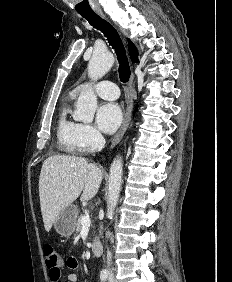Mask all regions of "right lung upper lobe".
<instances>
[{"label":"right lung upper lobe","mask_w":232,"mask_h":282,"mask_svg":"<svg viewBox=\"0 0 232 282\" xmlns=\"http://www.w3.org/2000/svg\"><path fill=\"white\" fill-rule=\"evenodd\" d=\"M128 48H129V54H130L131 60L133 62H137V57H138L137 50L134 44L130 40H128Z\"/></svg>","instance_id":"obj_1"}]
</instances>
